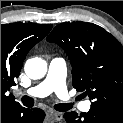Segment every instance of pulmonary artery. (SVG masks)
Wrapping results in <instances>:
<instances>
[{
	"label": "pulmonary artery",
	"mask_w": 123,
	"mask_h": 123,
	"mask_svg": "<svg viewBox=\"0 0 123 123\" xmlns=\"http://www.w3.org/2000/svg\"><path fill=\"white\" fill-rule=\"evenodd\" d=\"M66 79V63L62 58L53 59L48 68V73L44 80L38 85L28 89L26 94L32 97H46L55 92L61 99L68 98V91L65 83ZM82 111L90 109V102L85 101L79 105Z\"/></svg>",
	"instance_id": "1"
}]
</instances>
